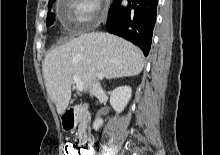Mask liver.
Listing matches in <instances>:
<instances>
[{
    "mask_svg": "<svg viewBox=\"0 0 220 155\" xmlns=\"http://www.w3.org/2000/svg\"><path fill=\"white\" fill-rule=\"evenodd\" d=\"M144 68V56L132 43L105 32H91L72 38L51 50L43 63L47 93L63 114L71 99L73 75L84 91L97 79L136 76Z\"/></svg>",
    "mask_w": 220,
    "mask_h": 155,
    "instance_id": "1",
    "label": "liver"
}]
</instances>
